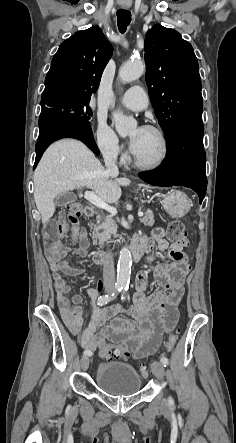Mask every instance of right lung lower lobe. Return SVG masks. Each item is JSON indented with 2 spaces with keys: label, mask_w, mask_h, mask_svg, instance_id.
<instances>
[{
  "label": "right lung lower lobe",
  "mask_w": 236,
  "mask_h": 443,
  "mask_svg": "<svg viewBox=\"0 0 236 443\" xmlns=\"http://www.w3.org/2000/svg\"><path fill=\"white\" fill-rule=\"evenodd\" d=\"M40 133L36 143L37 166L46 148L54 141L62 138H75L85 143L95 154L99 153L93 139L91 127L73 118L59 109L47 108L42 110L39 118Z\"/></svg>",
  "instance_id": "1"
}]
</instances>
